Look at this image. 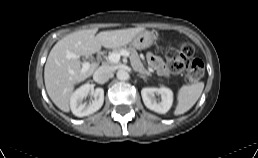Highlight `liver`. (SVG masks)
Returning <instances> with one entry per match:
<instances>
[{
  "instance_id": "liver-1",
  "label": "liver",
  "mask_w": 258,
  "mask_h": 158,
  "mask_svg": "<svg viewBox=\"0 0 258 158\" xmlns=\"http://www.w3.org/2000/svg\"><path fill=\"white\" fill-rule=\"evenodd\" d=\"M143 30L142 27L128 28L103 31L96 35L97 29H87L73 32L59 40L51 49L44 68L46 90L53 103L60 110L69 112V101L75 85L94 73L95 64H91L86 72H81L83 64L80 56L92 55L102 46L109 49L122 47ZM68 52L79 58L68 59Z\"/></svg>"
}]
</instances>
